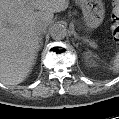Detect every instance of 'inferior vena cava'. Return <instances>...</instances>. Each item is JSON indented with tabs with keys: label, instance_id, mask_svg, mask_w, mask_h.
Listing matches in <instances>:
<instances>
[{
	"label": "inferior vena cava",
	"instance_id": "obj_1",
	"mask_svg": "<svg viewBox=\"0 0 119 119\" xmlns=\"http://www.w3.org/2000/svg\"><path fill=\"white\" fill-rule=\"evenodd\" d=\"M47 30V26L44 24H40L38 26H36L35 31L38 35H41L42 33H44Z\"/></svg>",
	"mask_w": 119,
	"mask_h": 119
}]
</instances>
